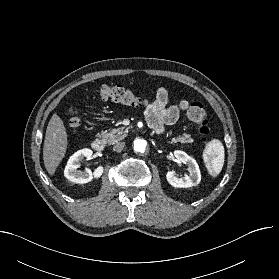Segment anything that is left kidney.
<instances>
[{
  "label": "left kidney",
  "mask_w": 279,
  "mask_h": 279,
  "mask_svg": "<svg viewBox=\"0 0 279 279\" xmlns=\"http://www.w3.org/2000/svg\"><path fill=\"white\" fill-rule=\"evenodd\" d=\"M174 156L188 165L189 175L185 174L183 177H177L173 171H169L166 174L168 183L175 188H188L199 184L201 173L196 160L180 150L174 151Z\"/></svg>",
  "instance_id": "1"
}]
</instances>
